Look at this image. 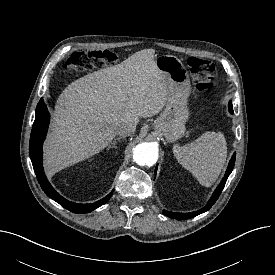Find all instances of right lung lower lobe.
Listing matches in <instances>:
<instances>
[{"label": "right lung lower lobe", "mask_w": 275, "mask_h": 275, "mask_svg": "<svg viewBox=\"0 0 275 275\" xmlns=\"http://www.w3.org/2000/svg\"><path fill=\"white\" fill-rule=\"evenodd\" d=\"M48 124L49 112L47 111L43 99H41L36 107V116L30 137L29 153L37 180L45 194L64 208L74 213H88L105 204L108 199H110L113 191L95 203L77 204L66 200L50 185L46 179L42 166V145L46 136Z\"/></svg>", "instance_id": "obj_1"}]
</instances>
